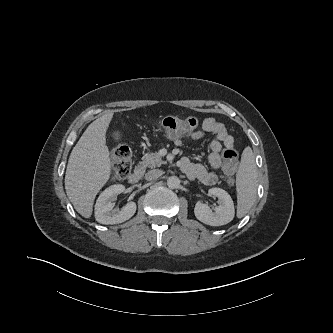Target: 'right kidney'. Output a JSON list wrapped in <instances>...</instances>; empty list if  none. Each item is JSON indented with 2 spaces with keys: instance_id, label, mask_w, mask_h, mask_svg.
<instances>
[{
  "instance_id": "1",
  "label": "right kidney",
  "mask_w": 333,
  "mask_h": 333,
  "mask_svg": "<svg viewBox=\"0 0 333 333\" xmlns=\"http://www.w3.org/2000/svg\"><path fill=\"white\" fill-rule=\"evenodd\" d=\"M125 186L112 185L105 189L98 197L95 204V219L101 224H118L130 219L136 212V203L129 202L120 210L114 208V199L124 192Z\"/></svg>"
}]
</instances>
